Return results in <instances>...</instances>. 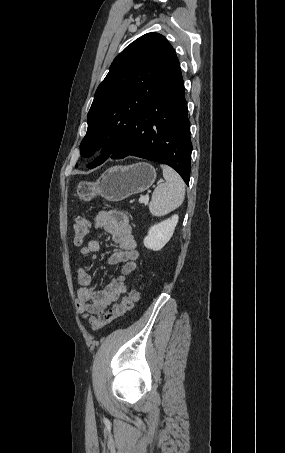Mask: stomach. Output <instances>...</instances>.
<instances>
[{
    "label": "stomach",
    "instance_id": "0dacf381",
    "mask_svg": "<svg viewBox=\"0 0 285 453\" xmlns=\"http://www.w3.org/2000/svg\"><path fill=\"white\" fill-rule=\"evenodd\" d=\"M156 179L155 168L145 162L108 168L95 182L81 181L77 185L80 199L90 201L101 196L107 201H122L150 188Z\"/></svg>",
    "mask_w": 285,
    "mask_h": 453
}]
</instances>
